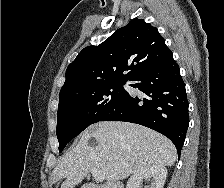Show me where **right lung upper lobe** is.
Segmentation results:
<instances>
[{
    "label": "right lung upper lobe",
    "instance_id": "right-lung-upper-lobe-1",
    "mask_svg": "<svg viewBox=\"0 0 224 188\" xmlns=\"http://www.w3.org/2000/svg\"><path fill=\"white\" fill-rule=\"evenodd\" d=\"M171 54L157 28L133 19L98 46L85 47L68 66L61 91L132 80ZM128 71L127 74H123Z\"/></svg>",
    "mask_w": 224,
    "mask_h": 188
}]
</instances>
